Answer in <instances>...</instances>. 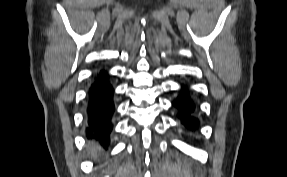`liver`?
<instances>
[{"label":"liver","instance_id":"1","mask_svg":"<svg viewBox=\"0 0 287 177\" xmlns=\"http://www.w3.org/2000/svg\"><path fill=\"white\" fill-rule=\"evenodd\" d=\"M97 151H98V148H96V147H91L89 149V152L93 157H96Z\"/></svg>","mask_w":287,"mask_h":177}]
</instances>
